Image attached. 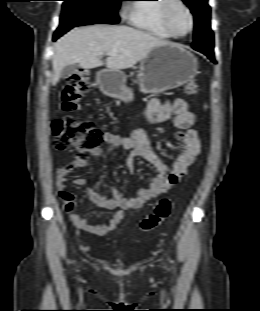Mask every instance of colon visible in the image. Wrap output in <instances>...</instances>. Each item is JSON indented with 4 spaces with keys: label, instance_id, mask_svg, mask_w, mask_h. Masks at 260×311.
Segmentation results:
<instances>
[{
    "label": "colon",
    "instance_id": "colon-1",
    "mask_svg": "<svg viewBox=\"0 0 260 311\" xmlns=\"http://www.w3.org/2000/svg\"><path fill=\"white\" fill-rule=\"evenodd\" d=\"M88 84L89 73L87 71H80L69 77L61 94L63 112L72 114L82 109L81 100L88 89ZM185 92L189 95L196 94L198 85L194 81H189L185 85ZM52 132L56 149H74L77 151V159L82 161H85L103 142V133L91 121L77 119L71 115L54 121ZM173 204L171 196L163 197L152 213L142 220L141 230L148 233L160 226L170 216Z\"/></svg>",
    "mask_w": 260,
    "mask_h": 311
}]
</instances>
